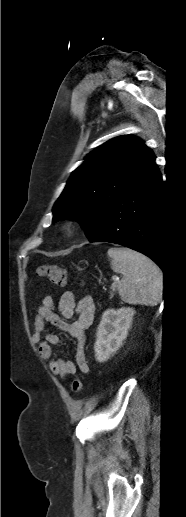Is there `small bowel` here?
<instances>
[{
  "label": "small bowel",
  "mask_w": 186,
  "mask_h": 517,
  "mask_svg": "<svg viewBox=\"0 0 186 517\" xmlns=\"http://www.w3.org/2000/svg\"><path fill=\"white\" fill-rule=\"evenodd\" d=\"M55 302L52 296H45L37 309L34 320L33 341L38 344L39 355L48 361L50 371L61 378L75 374L77 368L89 372V365L85 354L86 329L92 324L95 315V303L91 296H85L78 302L72 292H65L60 297L58 312H54ZM74 322H67L74 316ZM50 324L69 334L77 344L75 361L53 358L52 346L59 343L58 335L48 333L42 340L46 326Z\"/></svg>",
  "instance_id": "1"
}]
</instances>
